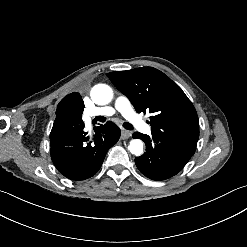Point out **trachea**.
<instances>
[{"label":"trachea","instance_id":"1","mask_svg":"<svg viewBox=\"0 0 247 247\" xmlns=\"http://www.w3.org/2000/svg\"><path fill=\"white\" fill-rule=\"evenodd\" d=\"M123 127L126 128L127 130H133L134 129L133 125L128 123V122H125L123 124Z\"/></svg>","mask_w":247,"mask_h":247}]
</instances>
